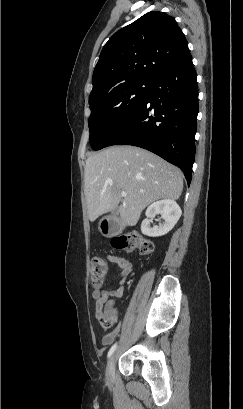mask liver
I'll return each instance as SVG.
<instances>
[{"mask_svg":"<svg viewBox=\"0 0 243 409\" xmlns=\"http://www.w3.org/2000/svg\"><path fill=\"white\" fill-rule=\"evenodd\" d=\"M84 183L91 222L113 212L121 202L118 207L121 221L134 226L152 202L180 197L183 174L147 150L111 146L87 158ZM122 191L127 193L126 197L121 196Z\"/></svg>","mask_w":243,"mask_h":409,"instance_id":"liver-1","label":"liver"}]
</instances>
